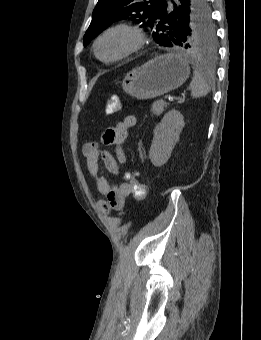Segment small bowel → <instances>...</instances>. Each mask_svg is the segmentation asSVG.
<instances>
[{
  "instance_id": "c3829d8e",
  "label": "small bowel",
  "mask_w": 261,
  "mask_h": 340,
  "mask_svg": "<svg viewBox=\"0 0 261 340\" xmlns=\"http://www.w3.org/2000/svg\"><path fill=\"white\" fill-rule=\"evenodd\" d=\"M135 124L134 115H125L120 122L103 133V143L116 146V157L108 151L101 150L96 143H88L84 146L83 155L88 171L95 182L97 191L104 197L99 201V206L104 212L121 210L126 198L131 194L128 182L110 183L105 173L109 172L126 179V173L123 174L119 168V164L127 162L122 144L128 136L129 129Z\"/></svg>"
}]
</instances>
